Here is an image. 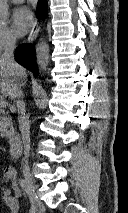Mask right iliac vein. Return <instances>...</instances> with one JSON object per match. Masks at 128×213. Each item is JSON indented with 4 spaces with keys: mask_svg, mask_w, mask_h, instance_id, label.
I'll return each instance as SVG.
<instances>
[{
    "mask_svg": "<svg viewBox=\"0 0 128 213\" xmlns=\"http://www.w3.org/2000/svg\"><path fill=\"white\" fill-rule=\"evenodd\" d=\"M23 176H24L31 200L35 202L36 204H39V200L37 199V196L35 193L34 180L31 175L30 169L28 167H24Z\"/></svg>",
    "mask_w": 128,
    "mask_h": 213,
    "instance_id": "obj_1",
    "label": "right iliac vein"
}]
</instances>
